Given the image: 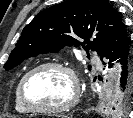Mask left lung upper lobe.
Here are the masks:
<instances>
[{"label":"left lung upper lobe","instance_id":"1","mask_svg":"<svg viewBox=\"0 0 133 118\" xmlns=\"http://www.w3.org/2000/svg\"><path fill=\"white\" fill-rule=\"evenodd\" d=\"M122 24L118 12L107 0H66L38 13L23 29L4 68L12 69L29 57L59 52L72 45L87 44V47L82 45L87 53L91 49L100 55ZM130 101L131 90L115 91L107 113L111 116L125 115Z\"/></svg>","mask_w":133,"mask_h":118}]
</instances>
